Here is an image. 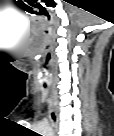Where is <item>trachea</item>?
Listing matches in <instances>:
<instances>
[{"instance_id":"1","label":"trachea","mask_w":114,"mask_h":136,"mask_svg":"<svg viewBox=\"0 0 114 136\" xmlns=\"http://www.w3.org/2000/svg\"><path fill=\"white\" fill-rule=\"evenodd\" d=\"M43 87L46 88V84L45 83L43 84Z\"/></svg>"}]
</instances>
